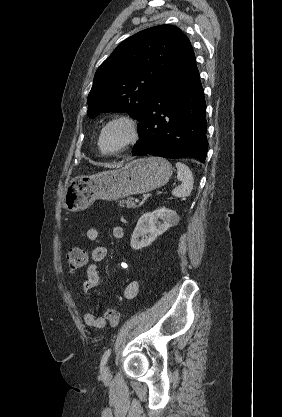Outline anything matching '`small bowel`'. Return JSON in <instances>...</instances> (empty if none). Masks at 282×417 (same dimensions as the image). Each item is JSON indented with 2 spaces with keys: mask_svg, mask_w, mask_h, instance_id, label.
Masks as SVG:
<instances>
[{
  "mask_svg": "<svg viewBox=\"0 0 282 417\" xmlns=\"http://www.w3.org/2000/svg\"><path fill=\"white\" fill-rule=\"evenodd\" d=\"M87 239L94 244L91 251L90 259L88 261L84 280L81 286L82 293L88 294L92 289L103 285L109 276L101 272V263L107 255V248L99 242V232L97 228L91 227L86 233ZM112 236L117 240H122L125 237V231L121 226H114L112 228ZM125 266V264H122ZM140 283L138 280L131 281L123 291V297L127 300L134 299L139 292ZM84 322L87 326L94 329H101L106 326L102 316H96L93 313H86L84 315Z\"/></svg>",
  "mask_w": 282,
  "mask_h": 417,
  "instance_id": "1",
  "label": "small bowel"
}]
</instances>
